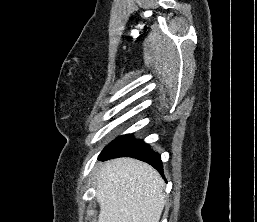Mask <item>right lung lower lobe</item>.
<instances>
[{
  "instance_id": "98d812e1",
  "label": "right lung lower lobe",
  "mask_w": 257,
  "mask_h": 222,
  "mask_svg": "<svg viewBox=\"0 0 257 222\" xmlns=\"http://www.w3.org/2000/svg\"><path fill=\"white\" fill-rule=\"evenodd\" d=\"M132 157L149 163L163 175L160 156L150 149L142 140L133 139L132 135H125L106 146L99 155L100 160L117 157Z\"/></svg>"
}]
</instances>
